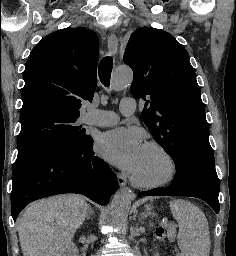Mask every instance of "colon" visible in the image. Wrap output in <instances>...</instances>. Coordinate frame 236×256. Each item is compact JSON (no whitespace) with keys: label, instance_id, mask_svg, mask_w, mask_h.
<instances>
[{"label":"colon","instance_id":"obj_1","mask_svg":"<svg viewBox=\"0 0 236 256\" xmlns=\"http://www.w3.org/2000/svg\"><path fill=\"white\" fill-rule=\"evenodd\" d=\"M156 239H157L158 241H161V240H162V232H161L160 229L157 230Z\"/></svg>","mask_w":236,"mask_h":256}]
</instances>
